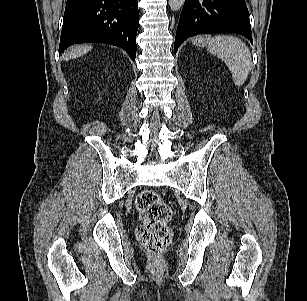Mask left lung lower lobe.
<instances>
[{"label": "left lung lower lobe", "mask_w": 307, "mask_h": 301, "mask_svg": "<svg viewBox=\"0 0 307 301\" xmlns=\"http://www.w3.org/2000/svg\"><path fill=\"white\" fill-rule=\"evenodd\" d=\"M217 32L238 33L253 44L245 0H185L174 51L191 36Z\"/></svg>", "instance_id": "1"}]
</instances>
